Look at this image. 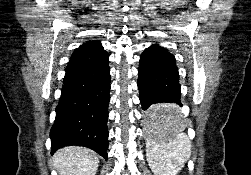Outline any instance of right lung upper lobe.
<instances>
[{
  "instance_id": "cb5924a9",
  "label": "right lung upper lobe",
  "mask_w": 251,
  "mask_h": 175,
  "mask_svg": "<svg viewBox=\"0 0 251 175\" xmlns=\"http://www.w3.org/2000/svg\"><path fill=\"white\" fill-rule=\"evenodd\" d=\"M107 56V52L99 41H87L79 48L75 49L68 66L87 64L98 61Z\"/></svg>"
}]
</instances>
